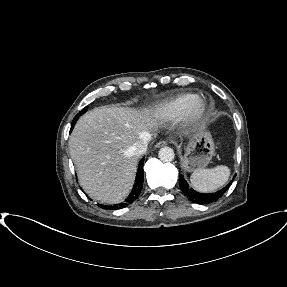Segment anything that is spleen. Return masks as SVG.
Masks as SVG:
<instances>
[{"instance_id":"3e777b00","label":"spleen","mask_w":287,"mask_h":287,"mask_svg":"<svg viewBox=\"0 0 287 287\" xmlns=\"http://www.w3.org/2000/svg\"><path fill=\"white\" fill-rule=\"evenodd\" d=\"M229 176L230 169L227 166L220 165L210 169L194 171L190 176V181L195 190L209 193L225 185Z\"/></svg>"}]
</instances>
